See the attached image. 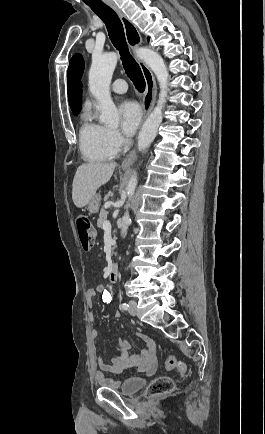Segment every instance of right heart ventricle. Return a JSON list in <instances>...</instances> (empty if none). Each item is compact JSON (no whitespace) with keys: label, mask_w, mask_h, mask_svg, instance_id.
Segmentation results:
<instances>
[{"label":"right heart ventricle","mask_w":265,"mask_h":434,"mask_svg":"<svg viewBox=\"0 0 265 434\" xmlns=\"http://www.w3.org/2000/svg\"><path fill=\"white\" fill-rule=\"evenodd\" d=\"M79 147L88 163H101L113 160L117 153L111 151L104 142L105 126L97 123L89 105L79 112Z\"/></svg>","instance_id":"obj_1"}]
</instances>
